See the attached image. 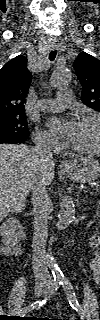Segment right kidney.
<instances>
[{
  "label": "right kidney",
  "mask_w": 100,
  "mask_h": 320,
  "mask_svg": "<svg viewBox=\"0 0 100 320\" xmlns=\"http://www.w3.org/2000/svg\"><path fill=\"white\" fill-rule=\"evenodd\" d=\"M0 234L6 253H14L18 249V243L25 236L20 222L15 217H10L2 223Z\"/></svg>",
  "instance_id": "1"
}]
</instances>
